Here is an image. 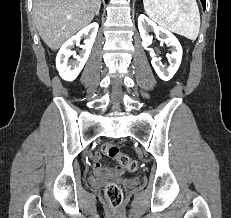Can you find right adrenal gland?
Masks as SVG:
<instances>
[{"label": "right adrenal gland", "mask_w": 231, "mask_h": 218, "mask_svg": "<svg viewBox=\"0 0 231 218\" xmlns=\"http://www.w3.org/2000/svg\"><path fill=\"white\" fill-rule=\"evenodd\" d=\"M99 10H100V9H98V11H97V13H96L97 16L99 15Z\"/></svg>", "instance_id": "obj_1"}]
</instances>
